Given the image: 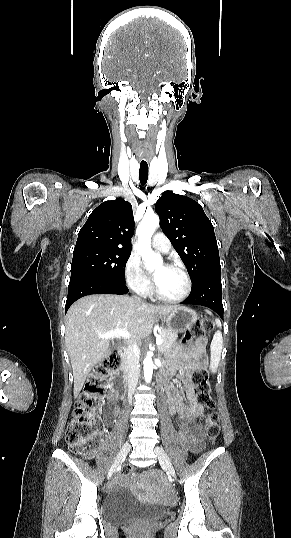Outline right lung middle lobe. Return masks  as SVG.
<instances>
[{
    "instance_id": "obj_1",
    "label": "right lung middle lobe",
    "mask_w": 291,
    "mask_h": 538,
    "mask_svg": "<svg viewBox=\"0 0 291 538\" xmlns=\"http://www.w3.org/2000/svg\"><path fill=\"white\" fill-rule=\"evenodd\" d=\"M131 249L88 247L74 250L70 282L96 279L125 284V266Z\"/></svg>"
}]
</instances>
